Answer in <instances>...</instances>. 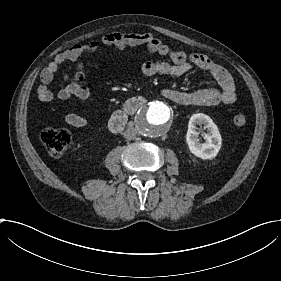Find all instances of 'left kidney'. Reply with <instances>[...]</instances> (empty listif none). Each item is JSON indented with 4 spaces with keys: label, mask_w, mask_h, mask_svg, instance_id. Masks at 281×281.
Here are the masks:
<instances>
[{
    "label": "left kidney",
    "mask_w": 281,
    "mask_h": 281,
    "mask_svg": "<svg viewBox=\"0 0 281 281\" xmlns=\"http://www.w3.org/2000/svg\"><path fill=\"white\" fill-rule=\"evenodd\" d=\"M204 124L208 130L205 135L206 142L200 143L196 126ZM186 143L189 151L196 157L207 160L213 159L219 153L222 144V137L217 125L213 120L203 113L193 114L189 120Z\"/></svg>",
    "instance_id": "5707ae66"
}]
</instances>
